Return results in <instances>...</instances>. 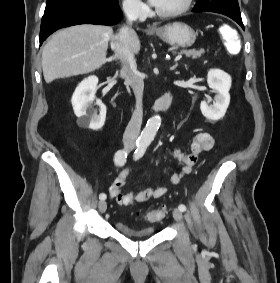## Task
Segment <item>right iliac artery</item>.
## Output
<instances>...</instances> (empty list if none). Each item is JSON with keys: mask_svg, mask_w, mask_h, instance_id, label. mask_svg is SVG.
<instances>
[{"mask_svg": "<svg viewBox=\"0 0 280 283\" xmlns=\"http://www.w3.org/2000/svg\"><path fill=\"white\" fill-rule=\"evenodd\" d=\"M139 145H140L139 143H136V146H139ZM129 152H130V149H128V148L118 150L115 153V156H114L115 164L118 165V166H123L125 164V162H126V158H127V155L129 154ZM99 199L100 200H105L106 199V194L105 193H100Z\"/></svg>", "mask_w": 280, "mask_h": 283, "instance_id": "82829eb1", "label": "right iliac artery"}]
</instances>
